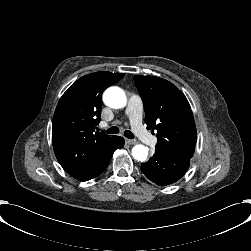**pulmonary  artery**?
Returning <instances> with one entry per match:
<instances>
[{
  "label": "pulmonary artery",
  "mask_w": 251,
  "mask_h": 251,
  "mask_svg": "<svg viewBox=\"0 0 251 251\" xmlns=\"http://www.w3.org/2000/svg\"><path fill=\"white\" fill-rule=\"evenodd\" d=\"M125 114L128 116L130 125L134 132L140 136V141L143 144L154 145L157 143V138L154 135L145 131L142 121H143V103L136 97L131 96L125 105ZM101 125H106V122L101 121Z\"/></svg>",
  "instance_id": "1"
}]
</instances>
